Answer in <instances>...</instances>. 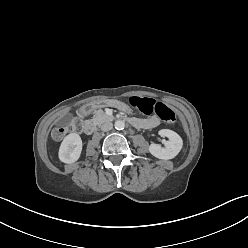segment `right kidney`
Returning a JSON list of instances; mask_svg holds the SVG:
<instances>
[{"mask_svg": "<svg viewBox=\"0 0 248 248\" xmlns=\"http://www.w3.org/2000/svg\"><path fill=\"white\" fill-rule=\"evenodd\" d=\"M82 151V140L79 134L70 133L62 141L59 148V159L61 162L70 164L76 162Z\"/></svg>", "mask_w": 248, "mask_h": 248, "instance_id": "ca27d5eb", "label": "right kidney"}]
</instances>
